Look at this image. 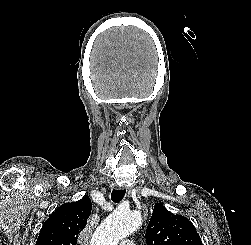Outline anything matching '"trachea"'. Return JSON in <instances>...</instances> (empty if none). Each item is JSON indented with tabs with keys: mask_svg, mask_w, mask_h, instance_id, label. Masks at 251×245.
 I'll return each mask as SVG.
<instances>
[{
	"mask_svg": "<svg viewBox=\"0 0 251 245\" xmlns=\"http://www.w3.org/2000/svg\"><path fill=\"white\" fill-rule=\"evenodd\" d=\"M125 196V190H116L113 189L111 193V200L115 203L120 202Z\"/></svg>",
	"mask_w": 251,
	"mask_h": 245,
	"instance_id": "trachea-1",
	"label": "trachea"
}]
</instances>
